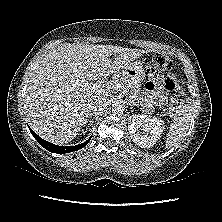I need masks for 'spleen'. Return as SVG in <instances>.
<instances>
[{"mask_svg": "<svg viewBox=\"0 0 222 222\" xmlns=\"http://www.w3.org/2000/svg\"><path fill=\"white\" fill-rule=\"evenodd\" d=\"M192 116L193 105L191 99L187 98L185 100H182L167 133V149L177 146L183 140L189 129Z\"/></svg>", "mask_w": 222, "mask_h": 222, "instance_id": "1", "label": "spleen"}]
</instances>
